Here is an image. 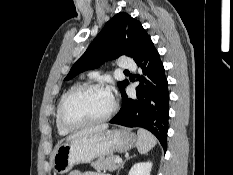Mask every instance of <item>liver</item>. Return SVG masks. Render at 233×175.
<instances>
[{"label": "liver", "instance_id": "6515ba94", "mask_svg": "<svg viewBox=\"0 0 233 175\" xmlns=\"http://www.w3.org/2000/svg\"><path fill=\"white\" fill-rule=\"evenodd\" d=\"M107 128H108L107 124H102V125L94 126V127H91V128H86V129H83V130H81V131H79V132H77V133L69 136L67 138V141L75 139V138H78L80 136L90 135V134H93V133H97V132L106 130Z\"/></svg>", "mask_w": 233, "mask_h": 175}]
</instances>
